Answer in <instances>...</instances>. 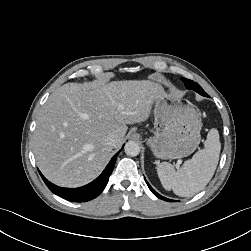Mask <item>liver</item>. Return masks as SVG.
<instances>
[{
	"instance_id": "obj_1",
	"label": "liver",
	"mask_w": 251,
	"mask_h": 251,
	"mask_svg": "<svg viewBox=\"0 0 251 251\" xmlns=\"http://www.w3.org/2000/svg\"><path fill=\"white\" fill-rule=\"evenodd\" d=\"M162 94L163 88L150 80L64 84L37 118L33 149L40 171L63 187L91 182L112 149L123 144L127 125L146 121ZM112 133L117 135L115 147L105 142Z\"/></svg>"
}]
</instances>
